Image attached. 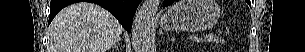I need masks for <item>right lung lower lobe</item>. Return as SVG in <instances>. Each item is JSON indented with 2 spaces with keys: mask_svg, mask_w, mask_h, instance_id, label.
Here are the masks:
<instances>
[{
  "mask_svg": "<svg viewBox=\"0 0 305 52\" xmlns=\"http://www.w3.org/2000/svg\"><path fill=\"white\" fill-rule=\"evenodd\" d=\"M81 1L95 3L107 9L117 18L127 32H130L133 16L140 2V0H51L48 25L61 9Z\"/></svg>",
  "mask_w": 305,
  "mask_h": 52,
  "instance_id": "98d812e1",
  "label": "right lung lower lobe"
}]
</instances>
